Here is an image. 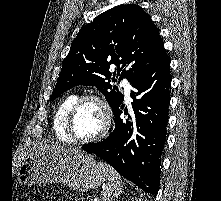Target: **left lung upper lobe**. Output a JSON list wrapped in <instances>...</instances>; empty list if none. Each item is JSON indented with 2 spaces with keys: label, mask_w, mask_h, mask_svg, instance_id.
Wrapping results in <instances>:
<instances>
[{
  "label": "left lung upper lobe",
  "mask_w": 221,
  "mask_h": 201,
  "mask_svg": "<svg viewBox=\"0 0 221 201\" xmlns=\"http://www.w3.org/2000/svg\"><path fill=\"white\" fill-rule=\"evenodd\" d=\"M166 54L158 28L138 5H120L84 26L72 42L50 101L76 85L96 86L112 111L123 94L110 84L113 76L132 84ZM121 72V73H120Z\"/></svg>",
  "instance_id": "obj_1"
}]
</instances>
